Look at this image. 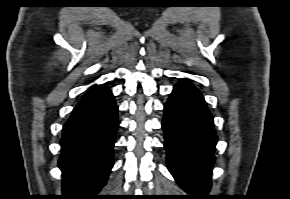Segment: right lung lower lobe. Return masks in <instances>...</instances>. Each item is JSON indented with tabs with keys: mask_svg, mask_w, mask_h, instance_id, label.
Returning a JSON list of instances; mask_svg holds the SVG:
<instances>
[{
	"mask_svg": "<svg viewBox=\"0 0 290 199\" xmlns=\"http://www.w3.org/2000/svg\"><path fill=\"white\" fill-rule=\"evenodd\" d=\"M118 107L103 85L92 86L63 127L61 199H99L114 164Z\"/></svg>",
	"mask_w": 290,
	"mask_h": 199,
	"instance_id": "right-lung-lower-lobe-1",
	"label": "right lung lower lobe"
}]
</instances>
